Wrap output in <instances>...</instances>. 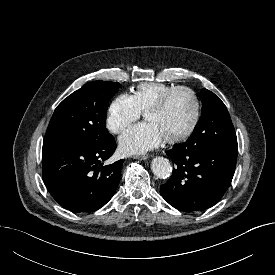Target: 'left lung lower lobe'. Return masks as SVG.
<instances>
[{"instance_id": "left-lung-lower-lobe-1", "label": "left lung lower lobe", "mask_w": 275, "mask_h": 275, "mask_svg": "<svg viewBox=\"0 0 275 275\" xmlns=\"http://www.w3.org/2000/svg\"><path fill=\"white\" fill-rule=\"evenodd\" d=\"M166 154L175 163L172 176L161 185L163 198L185 212L215 205L229 188L238 149L174 145Z\"/></svg>"}]
</instances>
